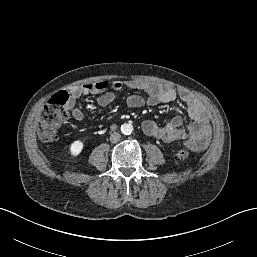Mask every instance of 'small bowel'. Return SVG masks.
<instances>
[{"mask_svg": "<svg viewBox=\"0 0 257 257\" xmlns=\"http://www.w3.org/2000/svg\"><path fill=\"white\" fill-rule=\"evenodd\" d=\"M123 87L129 90H140L145 96L133 94L126 98V105L130 108H139L144 105L155 106L161 103L173 102L180 98L185 104L192 122L183 126L181 116L173 117L164 125H159L153 120L143 122L142 128L146 135L164 142L181 141L191 150H199L206 146L211 137L209 117L201 103L190 94L177 93L170 86L147 81L130 80L125 83L119 81H97L70 88L69 111L76 121L85 118L83 111L76 105L79 98L86 95H98L96 104L98 107H106L117 99V93Z\"/></svg>", "mask_w": 257, "mask_h": 257, "instance_id": "1", "label": "small bowel"}]
</instances>
